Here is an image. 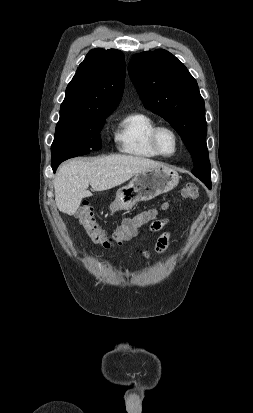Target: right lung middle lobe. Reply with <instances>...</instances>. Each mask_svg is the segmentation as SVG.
Listing matches in <instances>:
<instances>
[{
    "label": "right lung middle lobe",
    "mask_w": 253,
    "mask_h": 413,
    "mask_svg": "<svg viewBox=\"0 0 253 413\" xmlns=\"http://www.w3.org/2000/svg\"><path fill=\"white\" fill-rule=\"evenodd\" d=\"M111 113L112 111L90 117L60 119L51 146L52 164L100 150V131Z\"/></svg>",
    "instance_id": "dd1d6c3e"
}]
</instances>
